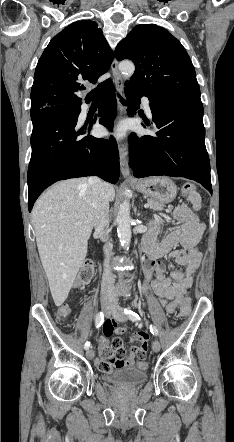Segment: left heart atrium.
<instances>
[{
    "mask_svg": "<svg viewBox=\"0 0 234 442\" xmlns=\"http://www.w3.org/2000/svg\"><path fill=\"white\" fill-rule=\"evenodd\" d=\"M104 134L108 137L121 138L124 134V127L120 124L104 129Z\"/></svg>",
    "mask_w": 234,
    "mask_h": 442,
    "instance_id": "obj_1",
    "label": "left heart atrium"
}]
</instances>
